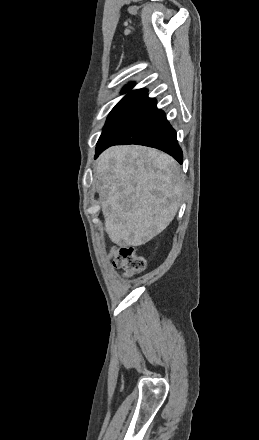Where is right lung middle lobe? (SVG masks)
Masks as SVG:
<instances>
[{"instance_id": "right-lung-middle-lobe-1", "label": "right lung middle lobe", "mask_w": 259, "mask_h": 440, "mask_svg": "<svg viewBox=\"0 0 259 440\" xmlns=\"http://www.w3.org/2000/svg\"><path fill=\"white\" fill-rule=\"evenodd\" d=\"M145 98V94H128L110 112L99 140L109 135Z\"/></svg>"}]
</instances>
